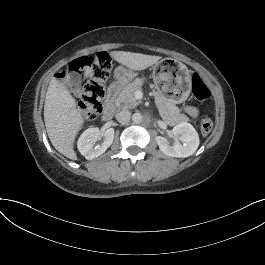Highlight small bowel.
<instances>
[{
    "label": "small bowel",
    "instance_id": "small-bowel-1",
    "mask_svg": "<svg viewBox=\"0 0 265 265\" xmlns=\"http://www.w3.org/2000/svg\"><path fill=\"white\" fill-rule=\"evenodd\" d=\"M89 76H90V71H89V70H85V72H84L83 75H82V78H81L80 84H81L85 79H87ZM75 92H76V93H79V87H77V88L75 89ZM185 111H186L191 117H193V118H196V117H198V115H199V110H198L196 107H194V106H187V107L185 108Z\"/></svg>",
    "mask_w": 265,
    "mask_h": 265
}]
</instances>
